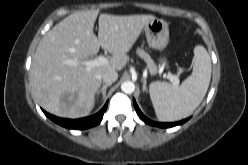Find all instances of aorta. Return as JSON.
<instances>
[{"instance_id":"obj_1","label":"aorta","mask_w":248,"mask_h":165,"mask_svg":"<svg viewBox=\"0 0 248 165\" xmlns=\"http://www.w3.org/2000/svg\"><path fill=\"white\" fill-rule=\"evenodd\" d=\"M121 90L126 94H131L135 90V84L131 81H125L121 84Z\"/></svg>"}]
</instances>
